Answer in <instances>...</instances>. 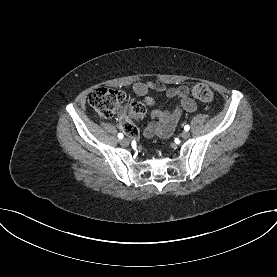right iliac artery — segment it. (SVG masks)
I'll list each match as a JSON object with an SVG mask.
<instances>
[{
    "mask_svg": "<svg viewBox=\"0 0 277 277\" xmlns=\"http://www.w3.org/2000/svg\"><path fill=\"white\" fill-rule=\"evenodd\" d=\"M118 138H119V139H122V138H123V134H122V133H119V134H118Z\"/></svg>",
    "mask_w": 277,
    "mask_h": 277,
    "instance_id": "82829eb1",
    "label": "right iliac artery"
}]
</instances>
